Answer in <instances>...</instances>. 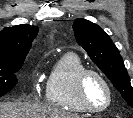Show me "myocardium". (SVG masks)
<instances>
[{
    "instance_id": "f54148a6",
    "label": "myocardium",
    "mask_w": 133,
    "mask_h": 118,
    "mask_svg": "<svg viewBox=\"0 0 133 118\" xmlns=\"http://www.w3.org/2000/svg\"><path fill=\"white\" fill-rule=\"evenodd\" d=\"M90 76H96L98 79H100L107 90V102L103 107L95 108L89 103L87 99L86 82ZM77 97L86 111L91 113H101L106 111L111 106L113 101V89L109 80L100 71L95 69H85L80 73L77 79Z\"/></svg>"
}]
</instances>
